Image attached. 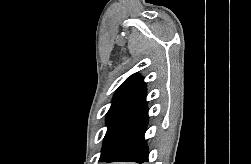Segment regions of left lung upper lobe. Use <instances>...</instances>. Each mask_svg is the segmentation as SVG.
<instances>
[{"label": "left lung upper lobe", "mask_w": 251, "mask_h": 164, "mask_svg": "<svg viewBox=\"0 0 251 164\" xmlns=\"http://www.w3.org/2000/svg\"><path fill=\"white\" fill-rule=\"evenodd\" d=\"M146 94V83L139 74H133L116 91L107 113L108 127L99 162L110 157L114 150L116 135L134 105Z\"/></svg>", "instance_id": "1"}]
</instances>
